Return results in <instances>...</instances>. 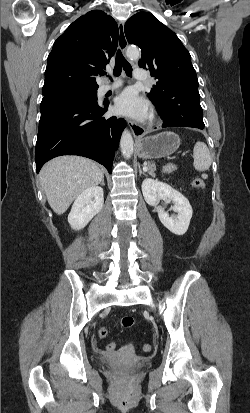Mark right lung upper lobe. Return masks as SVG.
<instances>
[{"mask_svg":"<svg viewBox=\"0 0 250 413\" xmlns=\"http://www.w3.org/2000/svg\"><path fill=\"white\" fill-rule=\"evenodd\" d=\"M118 45V25L101 10L79 17L54 42L45 71L42 94L72 88L97 89Z\"/></svg>","mask_w":250,"mask_h":413,"instance_id":"1","label":"right lung upper lobe"}]
</instances>
